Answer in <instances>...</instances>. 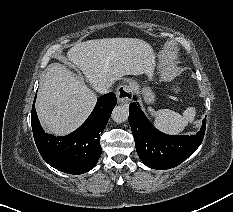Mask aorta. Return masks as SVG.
I'll list each match as a JSON object with an SVG mask.
<instances>
[{
  "label": "aorta",
  "instance_id": "762f6f07",
  "mask_svg": "<svg viewBox=\"0 0 233 212\" xmlns=\"http://www.w3.org/2000/svg\"><path fill=\"white\" fill-rule=\"evenodd\" d=\"M111 116L115 122L122 123L128 119L129 109L127 106H116Z\"/></svg>",
  "mask_w": 233,
  "mask_h": 212
}]
</instances>
